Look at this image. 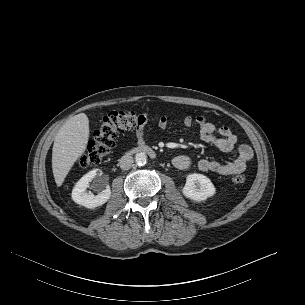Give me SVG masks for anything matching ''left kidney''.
<instances>
[{"label": "left kidney", "mask_w": 305, "mask_h": 305, "mask_svg": "<svg viewBox=\"0 0 305 305\" xmlns=\"http://www.w3.org/2000/svg\"><path fill=\"white\" fill-rule=\"evenodd\" d=\"M182 193L186 198L200 202L214 196L216 189L208 177L203 174L193 173L187 176Z\"/></svg>", "instance_id": "left-kidney-1"}]
</instances>
